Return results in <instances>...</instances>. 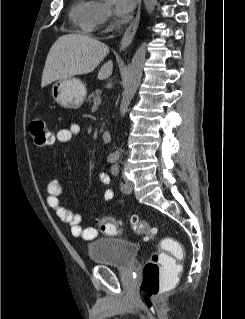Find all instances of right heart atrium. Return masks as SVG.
Masks as SVG:
<instances>
[{"mask_svg": "<svg viewBox=\"0 0 245 319\" xmlns=\"http://www.w3.org/2000/svg\"><path fill=\"white\" fill-rule=\"evenodd\" d=\"M99 25L105 29H109L112 25L111 10L106 6H102Z\"/></svg>", "mask_w": 245, "mask_h": 319, "instance_id": "d8ad5b80", "label": "right heart atrium"}]
</instances>
